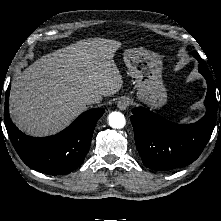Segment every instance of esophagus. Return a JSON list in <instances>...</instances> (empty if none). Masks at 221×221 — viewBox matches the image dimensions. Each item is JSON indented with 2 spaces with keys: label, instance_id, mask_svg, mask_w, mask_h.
Instances as JSON below:
<instances>
[{
  "label": "esophagus",
  "instance_id": "esophagus-1",
  "mask_svg": "<svg viewBox=\"0 0 221 221\" xmlns=\"http://www.w3.org/2000/svg\"><path fill=\"white\" fill-rule=\"evenodd\" d=\"M129 105H130V99L127 97L121 98L117 103V107L120 110H126L129 107Z\"/></svg>",
  "mask_w": 221,
  "mask_h": 221
}]
</instances>
